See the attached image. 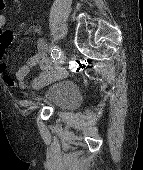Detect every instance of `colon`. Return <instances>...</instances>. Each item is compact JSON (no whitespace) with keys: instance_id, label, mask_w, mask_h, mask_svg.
<instances>
[{"instance_id":"obj_1","label":"colon","mask_w":143,"mask_h":170,"mask_svg":"<svg viewBox=\"0 0 143 170\" xmlns=\"http://www.w3.org/2000/svg\"><path fill=\"white\" fill-rule=\"evenodd\" d=\"M3 0H0V10H2L3 9Z\"/></svg>"}]
</instances>
